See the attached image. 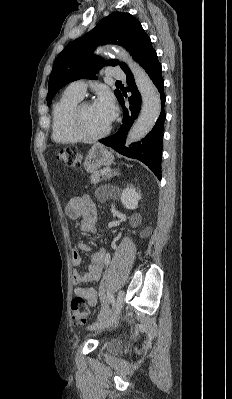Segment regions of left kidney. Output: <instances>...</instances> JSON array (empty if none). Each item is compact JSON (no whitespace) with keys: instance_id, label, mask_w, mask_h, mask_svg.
<instances>
[{"instance_id":"1","label":"left kidney","mask_w":232,"mask_h":399,"mask_svg":"<svg viewBox=\"0 0 232 399\" xmlns=\"http://www.w3.org/2000/svg\"><path fill=\"white\" fill-rule=\"evenodd\" d=\"M139 200H141V196L133 186H127L121 194V201L127 209H136Z\"/></svg>"}]
</instances>
